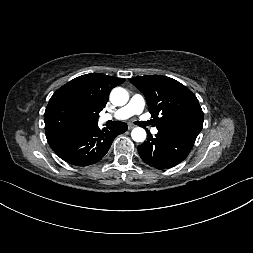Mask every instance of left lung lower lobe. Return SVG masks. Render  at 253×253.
Wrapping results in <instances>:
<instances>
[{"mask_svg": "<svg viewBox=\"0 0 253 253\" xmlns=\"http://www.w3.org/2000/svg\"><path fill=\"white\" fill-rule=\"evenodd\" d=\"M148 139L138 146L142 160L157 168H171L182 162L190 153L196 138L158 131L153 137L147 131Z\"/></svg>", "mask_w": 253, "mask_h": 253, "instance_id": "0a47b994", "label": "left lung lower lobe"}]
</instances>
